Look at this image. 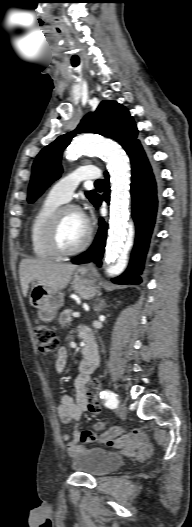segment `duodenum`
Masks as SVG:
<instances>
[{
    "mask_svg": "<svg viewBox=\"0 0 192 527\" xmlns=\"http://www.w3.org/2000/svg\"><path fill=\"white\" fill-rule=\"evenodd\" d=\"M96 366V357L93 349L89 345H85L83 350V368L92 370Z\"/></svg>",
    "mask_w": 192,
    "mask_h": 527,
    "instance_id": "obj_1",
    "label": "duodenum"
}]
</instances>
